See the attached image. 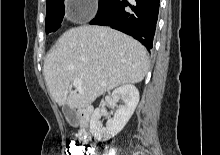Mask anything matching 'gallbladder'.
<instances>
[{"label": "gallbladder", "instance_id": "bac80fb5", "mask_svg": "<svg viewBox=\"0 0 220 155\" xmlns=\"http://www.w3.org/2000/svg\"><path fill=\"white\" fill-rule=\"evenodd\" d=\"M63 113L70 125L77 126L79 119L76 112L72 108L69 106H64Z\"/></svg>", "mask_w": 220, "mask_h": 155}]
</instances>
